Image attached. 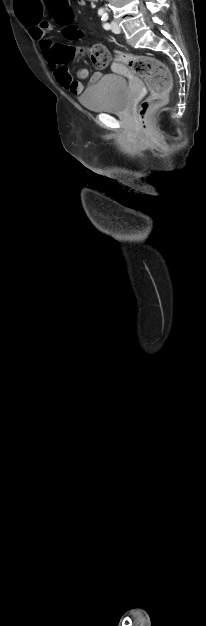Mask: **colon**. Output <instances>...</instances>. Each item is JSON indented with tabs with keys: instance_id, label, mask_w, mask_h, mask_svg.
<instances>
[{
	"instance_id": "1",
	"label": "colon",
	"mask_w": 206,
	"mask_h": 626,
	"mask_svg": "<svg viewBox=\"0 0 206 626\" xmlns=\"http://www.w3.org/2000/svg\"><path fill=\"white\" fill-rule=\"evenodd\" d=\"M45 4L53 14L56 21L67 26V34L71 37L80 32L72 26L73 12L69 0H45ZM78 53L88 55L97 68H105L110 60V54L103 45H93L89 48L57 47L55 50L56 60L67 63ZM116 57L125 63L149 88V95L141 102L138 108V118L143 129H149L148 113L156 107L163 105L167 99L172 85V79L166 65L153 57L135 55L126 51H116Z\"/></svg>"
}]
</instances>
